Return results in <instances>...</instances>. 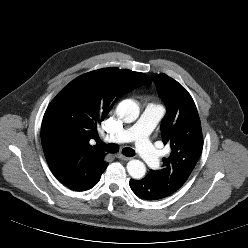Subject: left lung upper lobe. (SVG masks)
I'll return each mask as SVG.
<instances>
[{"instance_id":"left-lung-upper-lobe-1","label":"left lung upper lobe","mask_w":248,"mask_h":248,"mask_svg":"<svg viewBox=\"0 0 248 248\" xmlns=\"http://www.w3.org/2000/svg\"><path fill=\"white\" fill-rule=\"evenodd\" d=\"M153 78L167 108L161 123L163 143L170 144L172 151L163 158V168L151 170L148 176L173 194L187 181L200 158L201 123L192 97L181 84L163 73L154 74Z\"/></svg>"}]
</instances>
